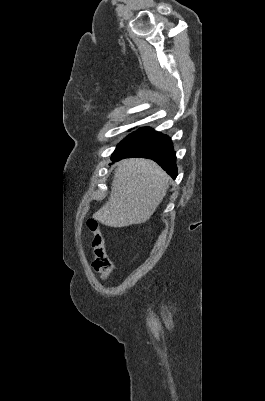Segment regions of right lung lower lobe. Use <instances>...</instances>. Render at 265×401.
<instances>
[{
	"label": "right lung lower lobe",
	"mask_w": 265,
	"mask_h": 401,
	"mask_svg": "<svg viewBox=\"0 0 265 401\" xmlns=\"http://www.w3.org/2000/svg\"><path fill=\"white\" fill-rule=\"evenodd\" d=\"M142 157L156 161L173 179L177 176L176 155L171 139L144 127L129 134L112 155L113 161L123 158Z\"/></svg>",
	"instance_id": "obj_1"
}]
</instances>
